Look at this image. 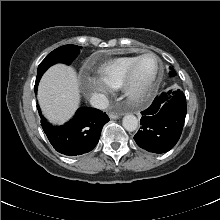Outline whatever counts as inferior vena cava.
Wrapping results in <instances>:
<instances>
[{
	"mask_svg": "<svg viewBox=\"0 0 220 220\" xmlns=\"http://www.w3.org/2000/svg\"><path fill=\"white\" fill-rule=\"evenodd\" d=\"M92 107L97 109H105L109 106L108 98L103 94H95L90 99Z\"/></svg>",
	"mask_w": 220,
	"mask_h": 220,
	"instance_id": "obj_1",
	"label": "inferior vena cava"
}]
</instances>
